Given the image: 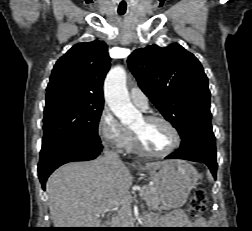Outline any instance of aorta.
Listing matches in <instances>:
<instances>
[{"mask_svg": "<svg viewBox=\"0 0 252 231\" xmlns=\"http://www.w3.org/2000/svg\"><path fill=\"white\" fill-rule=\"evenodd\" d=\"M104 95L109 108L123 124L132 123L140 115L130 102L123 67L116 66L109 71L104 83Z\"/></svg>", "mask_w": 252, "mask_h": 231, "instance_id": "obj_1", "label": "aorta"}]
</instances>
